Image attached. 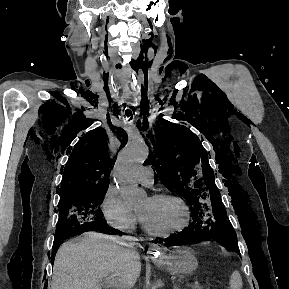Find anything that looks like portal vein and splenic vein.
Listing matches in <instances>:
<instances>
[{"mask_svg": "<svg viewBox=\"0 0 289 289\" xmlns=\"http://www.w3.org/2000/svg\"><path fill=\"white\" fill-rule=\"evenodd\" d=\"M106 284H107V287H111V288H114V289H119L122 287V285L119 283V281L117 279H114L111 277V279H107L106 280ZM192 287H200V284L198 281H195L194 284L192 285Z\"/></svg>", "mask_w": 289, "mask_h": 289, "instance_id": "obj_1", "label": "portal vein and splenic vein"}]
</instances>
